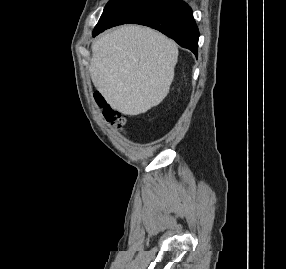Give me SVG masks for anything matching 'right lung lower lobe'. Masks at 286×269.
Segmentation results:
<instances>
[{
  "instance_id": "98d812e1",
  "label": "right lung lower lobe",
  "mask_w": 286,
  "mask_h": 269,
  "mask_svg": "<svg viewBox=\"0 0 286 269\" xmlns=\"http://www.w3.org/2000/svg\"><path fill=\"white\" fill-rule=\"evenodd\" d=\"M127 23L152 27L197 56L199 31L191 8L182 0H161ZM101 32L93 31V36Z\"/></svg>"
}]
</instances>
